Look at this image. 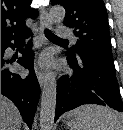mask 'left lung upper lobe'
Segmentation results:
<instances>
[{
  "instance_id": "5c2ea615",
  "label": "left lung upper lobe",
  "mask_w": 123,
  "mask_h": 130,
  "mask_svg": "<svg viewBox=\"0 0 123 130\" xmlns=\"http://www.w3.org/2000/svg\"><path fill=\"white\" fill-rule=\"evenodd\" d=\"M66 10L64 24L74 30L77 43L68 53L91 55L113 62L108 16L103 0H51Z\"/></svg>"
}]
</instances>
